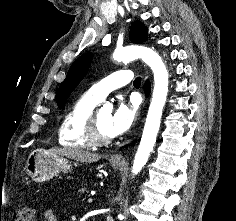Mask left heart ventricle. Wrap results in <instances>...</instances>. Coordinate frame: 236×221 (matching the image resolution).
<instances>
[{
  "label": "left heart ventricle",
  "mask_w": 236,
  "mask_h": 221,
  "mask_svg": "<svg viewBox=\"0 0 236 221\" xmlns=\"http://www.w3.org/2000/svg\"><path fill=\"white\" fill-rule=\"evenodd\" d=\"M110 116L111 115L109 112L101 111V110L98 111V114H97L99 130L103 136H107V137L111 136L109 132V128H108Z\"/></svg>",
  "instance_id": "1"
}]
</instances>
